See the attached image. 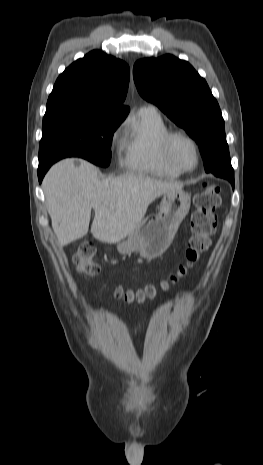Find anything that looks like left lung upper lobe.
Here are the masks:
<instances>
[{"mask_svg":"<svg viewBox=\"0 0 263 465\" xmlns=\"http://www.w3.org/2000/svg\"><path fill=\"white\" fill-rule=\"evenodd\" d=\"M133 77L140 95L157 105L216 160L211 172L234 183L220 107L206 81L186 61L172 55L138 60Z\"/></svg>","mask_w":263,"mask_h":465,"instance_id":"obj_1","label":"left lung upper lobe"}]
</instances>
